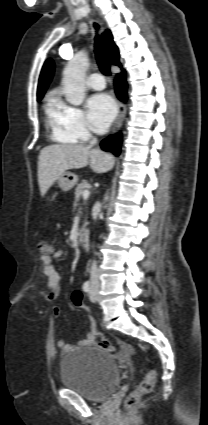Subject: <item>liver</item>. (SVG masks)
Here are the masks:
<instances>
[{"label":"liver","instance_id":"liver-1","mask_svg":"<svg viewBox=\"0 0 208 425\" xmlns=\"http://www.w3.org/2000/svg\"><path fill=\"white\" fill-rule=\"evenodd\" d=\"M115 158L99 149L82 145L54 144L44 147L38 158V184L44 196L53 183L67 170L87 165L95 173H105L113 168Z\"/></svg>","mask_w":208,"mask_h":425}]
</instances>
